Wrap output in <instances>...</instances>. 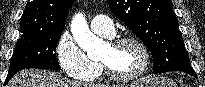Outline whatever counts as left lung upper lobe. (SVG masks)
Instances as JSON below:
<instances>
[{"mask_svg": "<svg viewBox=\"0 0 205 87\" xmlns=\"http://www.w3.org/2000/svg\"><path fill=\"white\" fill-rule=\"evenodd\" d=\"M108 4L151 51L153 72L191 68L170 0H108Z\"/></svg>", "mask_w": 205, "mask_h": 87, "instance_id": "1", "label": "left lung upper lobe"}]
</instances>
